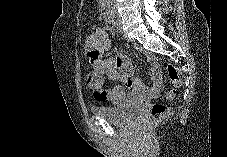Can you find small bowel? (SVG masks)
<instances>
[{
    "label": "small bowel",
    "mask_w": 227,
    "mask_h": 157,
    "mask_svg": "<svg viewBox=\"0 0 227 157\" xmlns=\"http://www.w3.org/2000/svg\"><path fill=\"white\" fill-rule=\"evenodd\" d=\"M109 48V38L101 29H97L86 41L85 49L95 72L105 75L108 81L118 83L108 89L103 87L99 92L94 91L95 99L125 105L156 98L161 86L158 68L155 65L152 67L150 74L152 86L146 87L140 79L132 77V63L124 54L112 58L105 57Z\"/></svg>",
    "instance_id": "1"
}]
</instances>
